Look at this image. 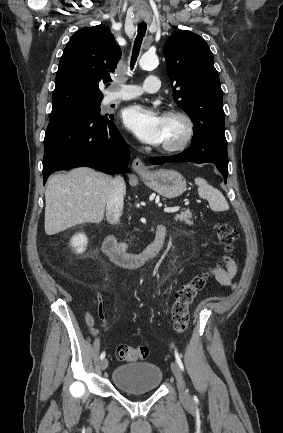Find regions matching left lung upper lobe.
Here are the masks:
<instances>
[{
  "mask_svg": "<svg viewBox=\"0 0 283 433\" xmlns=\"http://www.w3.org/2000/svg\"><path fill=\"white\" fill-rule=\"evenodd\" d=\"M164 56L174 100L195 129L207 125L224 129L223 92L205 40L190 31L176 30L164 44Z\"/></svg>",
  "mask_w": 283,
  "mask_h": 433,
  "instance_id": "5c2ea615",
  "label": "left lung upper lobe"
}]
</instances>
